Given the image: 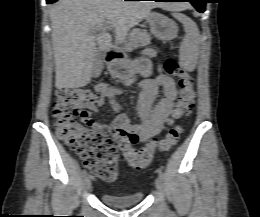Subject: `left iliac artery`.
<instances>
[{
  "mask_svg": "<svg viewBox=\"0 0 260 217\" xmlns=\"http://www.w3.org/2000/svg\"><path fill=\"white\" fill-rule=\"evenodd\" d=\"M159 172V177L161 178V180L163 181L165 179L164 173L162 172L161 169L158 170Z\"/></svg>",
  "mask_w": 260,
  "mask_h": 217,
  "instance_id": "obj_1",
  "label": "left iliac artery"
}]
</instances>
